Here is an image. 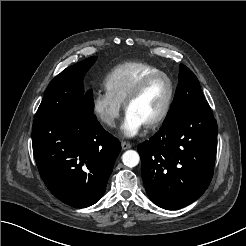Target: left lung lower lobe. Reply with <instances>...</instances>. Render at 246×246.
Segmentation results:
<instances>
[{
  "label": "left lung lower lobe",
  "instance_id": "0a47b994",
  "mask_svg": "<svg viewBox=\"0 0 246 246\" xmlns=\"http://www.w3.org/2000/svg\"><path fill=\"white\" fill-rule=\"evenodd\" d=\"M217 151V123L210 106L163 123L138 146L141 174L150 199L167 210L183 208L208 188Z\"/></svg>",
  "mask_w": 246,
  "mask_h": 246
}]
</instances>
